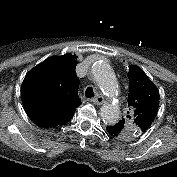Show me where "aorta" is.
I'll use <instances>...</instances> for the list:
<instances>
[{"label": "aorta", "instance_id": "aorta-1", "mask_svg": "<svg viewBox=\"0 0 177 177\" xmlns=\"http://www.w3.org/2000/svg\"><path fill=\"white\" fill-rule=\"evenodd\" d=\"M93 78L101 91L106 96H113L118 93L116 76L110 65L104 61H97L91 67ZM100 116L106 124H116L120 118L118 105L106 103L100 109Z\"/></svg>", "mask_w": 177, "mask_h": 177}]
</instances>
